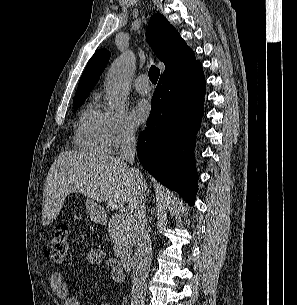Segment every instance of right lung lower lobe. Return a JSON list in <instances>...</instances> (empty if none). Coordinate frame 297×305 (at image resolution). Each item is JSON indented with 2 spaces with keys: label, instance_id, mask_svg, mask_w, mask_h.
<instances>
[{
  "label": "right lung lower lobe",
  "instance_id": "right-lung-lower-lobe-1",
  "mask_svg": "<svg viewBox=\"0 0 297 305\" xmlns=\"http://www.w3.org/2000/svg\"><path fill=\"white\" fill-rule=\"evenodd\" d=\"M204 95L205 77L200 62L178 75L160 77L147 127L137 144L143 167L190 204L194 202L198 178L193 134L200 127Z\"/></svg>",
  "mask_w": 297,
  "mask_h": 305
}]
</instances>
